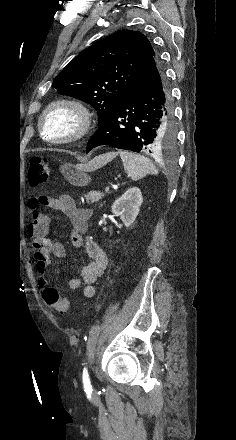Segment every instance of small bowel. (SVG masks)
I'll return each instance as SVG.
<instances>
[{"instance_id": "small-bowel-1", "label": "small bowel", "mask_w": 236, "mask_h": 440, "mask_svg": "<svg viewBox=\"0 0 236 440\" xmlns=\"http://www.w3.org/2000/svg\"><path fill=\"white\" fill-rule=\"evenodd\" d=\"M43 207L61 210L71 216V242L77 248L84 246L90 261L83 266L80 277L69 280L68 288L78 290L82 287L85 298L94 297V283L105 272L108 257L94 240L89 237L84 238L87 233L91 211L87 208L78 207L69 195L49 197L40 194L29 199L31 220L27 225V235L35 250V270L39 287L45 288L47 286L46 271L52 259H62L66 256L64 245L49 236L50 218L47 213L42 211Z\"/></svg>"}]
</instances>
